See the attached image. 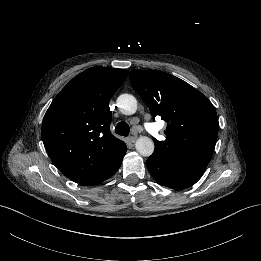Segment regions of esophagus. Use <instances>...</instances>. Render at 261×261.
Listing matches in <instances>:
<instances>
[{
	"label": "esophagus",
	"instance_id": "esophagus-1",
	"mask_svg": "<svg viewBox=\"0 0 261 261\" xmlns=\"http://www.w3.org/2000/svg\"><path fill=\"white\" fill-rule=\"evenodd\" d=\"M128 140H129L131 143H135L136 138L132 136V137H129Z\"/></svg>",
	"mask_w": 261,
	"mask_h": 261
}]
</instances>
